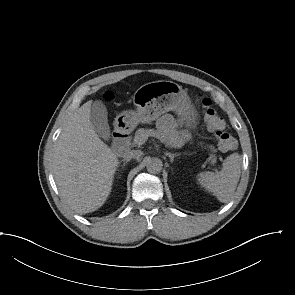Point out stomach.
Here are the masks:
<instances>
[{
    "mask_svg": "<svg viewBox=\"0 0 295 295\" xmlns=\"http://www.w3.org/2000/svg\"><path fill=\"white\" fill-rule=\"evenodd\" d=\"M136 111H124L118 122L126 129L139 123H150L162 114L174 111L187 124L195 122L197 113L187 92L172 81H155L141 86L135 95Z\"/></svg>",
    "mask_w": 295,
    "mask_h": 295,
    "instance_id": "1",
    "label": "stomach"
}]
</instances>
